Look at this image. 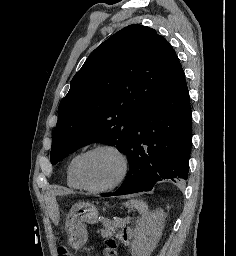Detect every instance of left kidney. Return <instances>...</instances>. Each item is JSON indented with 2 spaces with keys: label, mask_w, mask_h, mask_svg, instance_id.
<instances>
[{
  "label": "left kidney",
  "mask_w": 236,
  "mask_h": 256,
  "mask_svg": "<svg viewBox=\"0 0 236 256\" xmlns=\"http://www.w3.org/2000/svg\"><path fill=\"white\" fill-rule=\"evenodd\" d=\"M164 212L159 208L155 212L143 214L134 230V240L131 244L132 256H150L155 250L164 228Z\"/></svg>",
  "instance_id": "5707ae66"
}]
</instances>
